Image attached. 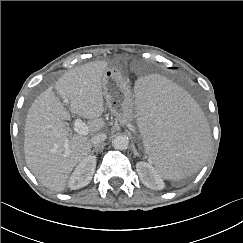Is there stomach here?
I'll return each instance as SVG.
<instances>
[{
    "mask_svg": "<svg viewBox=\"0 0 243 243\" xmlns=\"http://www.w3.org/2000/svg\"><path fill=\"white\" fill-rule=\"evenodd\" d=\"M103 92L108 108L121 124L135 118L132 91L118 68L110 66L105 71Z\"/></svg>",
    "mask_w": 243,
    "mask_h": 243,
    "instance_id": "0dacf381",
    "label": "stomach"
}]
</instances>
